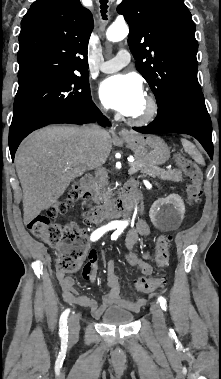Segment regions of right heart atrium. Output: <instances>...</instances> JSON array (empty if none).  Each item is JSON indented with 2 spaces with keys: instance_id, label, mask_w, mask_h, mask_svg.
<instances>
[{
  "instance_id": "obj_1",
  "label": "right heart atrium",
  "mask_w": 221,
  "mask_h": 379,
  "mask_svg": "<svg viewBox=\"0 0 221 379\" xmlns=\"http://www.w3.org/2000/svg\"><path fill=\"white\" fill-rule=\"evenodd\" d=\"M96 109L98 110V112L104 114L106 112V109L99 103L96 104Z\"/></svg>"
}]
</instances>
